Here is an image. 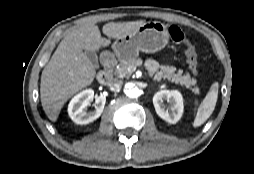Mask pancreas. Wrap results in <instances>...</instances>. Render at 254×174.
Masks as SVG:
<instances>
[{"label": "pancreas", "mask_w": 254, "mask_h": 174, "mask_svg": "<svg viewBox=\"0 0 254 174\" xmlns=\"http://www.w3.org/2000/svg\"><path fill=\"white\" fill-rule=\"evenodd\" d=\"M142 63L141 58H131L121 60L116 68L114 74L119 77L131 76L134 71V67ZM155 80L160 81L162 79L174 82L181 86H185L188 89H191L195 94L200 93L199 87L196 86V80L190 77L189 73L182 74V71L179 70L176 72V68L169 65H160V70L156 72Z\"/></svg>", "instance_id": "obj_1"}]
</instances>
